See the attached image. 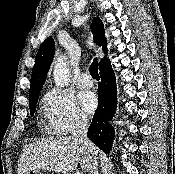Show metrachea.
Masks as SVG:
<instances>
[{
    "label": "trachea",
    "mask_w": 175,
    "mask_h": 174,
    "mask_svg": "<svg viewBox=\"0 0 175 174\" xmlns=\"http://www.w3.org/2000/svg\"><path fill=\"white\" fill-rule=\"evenodd\" d=\"M90 75L92 76V78L94 79H100L99 74H98V62H97V58H95L91 64L90 67Z\"/></svg>",
    "instance_id": "obj_1"
}]
</instances>
